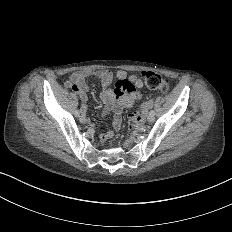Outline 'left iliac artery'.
I'll use <instances>...</instances> for the list:
<instances>
[{
  "instance_id": "1",
  "label": "left iliac artery",
  "mask_w": 232,
  "mask_h": 232,
  "mask_svg": "<svg viewBox=\"0 0 232 232\" xmlns=\"http://www.w3.org/2000/svg\"><path fill=\"white\" fill-rule=\"evenodd\" d=\"M150 116H154L155 115V111L154 110H152V111H150Z\"/></svg>"
}]
</instances>
